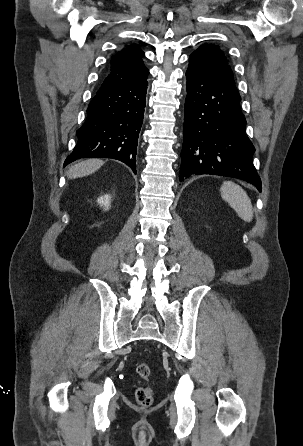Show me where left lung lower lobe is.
<instances>
[{"label": "left lung lower lobe", "mask_w": 303, "mask_h": 446, "mask_svg": "<svg viewBox=\"0 0 303 446\" xmlns=\"http://www.w3.org/2000/svg\"><path fill=\"white\" fill-rule=\"evenodd\" d=\"M186 78L180 181L194 174H212L242 179L261 191L252 162L255 148L245 135L235 82L192 56Z\"/></svg>", "instance_id": "obj_1"}]
</instances>
